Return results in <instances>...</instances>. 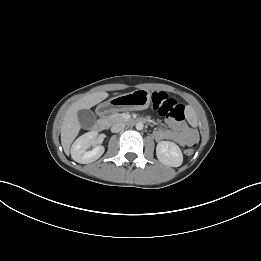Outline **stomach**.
<instances>
[{
	"label": "stomach",
	"mask_w": 261,
	"mask_h": 261,
	"mask_svg": "<svg viewBox=\"0 0 261 261\" xmlns=\"http://www.w3.org/2000/svg\"><path fill=\"white\" fill-rule=\"evenodd\" d=\"M151 103V93L146 89H138L130 93L115 96L101 103L98 110L101 114H110L119 111L144 110Z\"/></svg>",
	"instance_id": "stomach-1"
}]
</instances>
